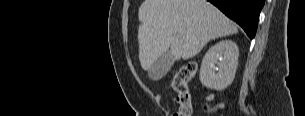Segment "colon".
Returning a JSON list of instances; mask_svg holds the SVG:
<instances>
[{"label":"colon","instance_id":"1","mask_svg":"<svg viewBox=\"0 0 305 116\" xmlns=\"http://www.w3.org/2000/svg\"><path fill=\"white\" fill-rule=\"evenodd\" d=\"M198 65L195 62L187 63L181 66L175 73L172 80V88L176 92V101L179 108L170 116H191L192 105L191 97L187 88V82L196 75ZM222 108V104L216 102L213 95L208 97L206 110L213 111Z\"/></svg>","mask_w":305,"mask_h":116}]
</instances>
